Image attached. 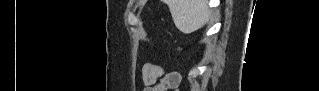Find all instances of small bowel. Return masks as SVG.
Returning a JSON list of instances; mask_svg holds the SVG:
<instances>
[{"label":"small bowel","instance_id":"c3829d8e","mask_svg":"<svg viewBox=\"0 0 319 91\" xmlns=\"http://www.w3.org/2000/svg\"><path fill=\"white\" fill-rule=\"evenodd\" d=\"M164 74L161 67L154 66L152 64H147L143 68V80L146 84H151L157 79H159ZM178 84V75L173 73L171 79L168 81L169 86H176Z\"/></svg>","mask_w":319,"mask_h":91}]
</instances>
